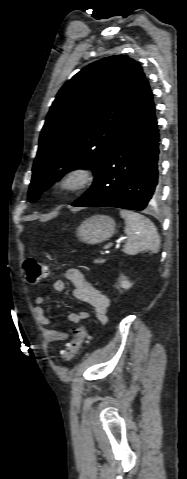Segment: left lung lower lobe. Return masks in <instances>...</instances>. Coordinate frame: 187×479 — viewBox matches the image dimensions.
Here are the masks:
<instances>
[{
    "label": "left lung lower lobe",
    "instance_id": "obj_1",
    "mask_svg": "<svg viewBox=\"0 0 187 479\" xmlns=\"http://www.w3.org/2000/svg\"><path fill=\"white\" fill-rule=\"evenodd\" d=\"M159 130L147 79L114 147L96 171L91 188L76 207L143 210L159 193Z\"/></svg>",
    "mask_w": 187,
    "mask_h": 479
}]
</instances>
